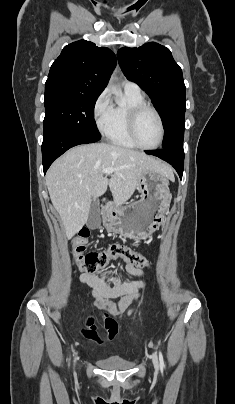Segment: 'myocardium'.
Returning <instances> with one entry per match:
<instances>
[{"mask_svg": "<svg viewBox=\"0 0 235 404\" xmlns=\"http://www.w3.org/2000/svg\"><path fill=\"white\" fill-rule=\"evenodd\" d=\"M145 111H151L157 117L158 122H159L160 137H159L158 142L153 146H145V145L141 144L139 142V140L137 138V134H136V126H137L138 119H139L140 115ZM127 129H128V134H129L131 140L133 141V143L138 148L145 149V150H152V149L158 148L162 144L164 136H165V127H164L163 119H162L160 113L154 107H152L146 103L133 106L129 109L128 120H127Z\"/></svg>", "mask_w": 235, "mask_h": 404, "instance_id": "1", "label": "myocardium"}]
</instances>
